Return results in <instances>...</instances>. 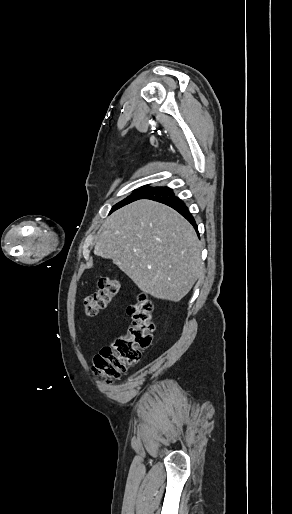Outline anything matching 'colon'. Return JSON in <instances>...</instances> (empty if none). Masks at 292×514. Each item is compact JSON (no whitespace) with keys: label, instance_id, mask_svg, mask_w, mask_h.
I'll list each match as a JSON object with an SVG mask.
<instances>
[{"label":"colon","instance_id":"colon-1","mask_svg":"<svg viewBox=\"0 0 292 514\" xmlns=\"http://www.w3.org/2000/svg\"><path fill=\"white\" fill-rule=\"evenodd\" d=\"M120 291L116 277H103L98 281V291L84 299L86 313L97 316L103 312ZM131 322L125 333L104 347L93 359V369L108 379L120 378L131 365L142 357L153 340V307L147 295L140 293L128 306Z\"/></svg>","mask_w":292,"mask_h":514}]
</instances>
